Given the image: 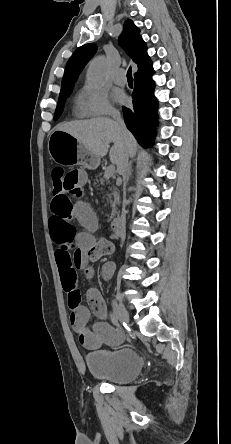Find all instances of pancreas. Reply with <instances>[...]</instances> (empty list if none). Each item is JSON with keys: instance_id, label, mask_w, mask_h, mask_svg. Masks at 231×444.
Listing matches in <instances>:
<instances>
[{"instance_id": "obj_1", "label": "pancreas", "mask_w": 231, "mask_h": 444, "mask_svg": "<svg viewBox=\"0 0 231 444\" xmlns=\"http://www.w3.org/2000/svg\"><path fill=\"white\" fill-rule=\"evenodd\" d=\"M101 176V173L98 174V177ZM100 181L103 183V179L100 178ZM113 196H114V203H113V207L115 208V205L118 203L119 201V196L116 190L113 191Z\"/></svg>"}]
</instances>
